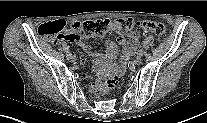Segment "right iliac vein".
<instances>
[{"instance_id":"63e3f726","label":"right iliac vein","mask_w":207,"mask_h":123,"mask_svg":"<svg viewBox=\"0 0 207 123\" xmlns=\"http://www.w3.org/2000/svg\"><path fill=\"white\" fill-rule=\"evenodd\" d=\"M69 60L72 61V62H75L76 61V57L74 55H71Z\"/></svg>"}]
</instances>
